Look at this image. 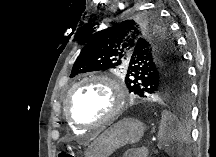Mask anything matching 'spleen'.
I'll list each match as a JSON object with an SVG mask.
<instances>
[{
  "label": "spleen",
  "instance_id": "1",
  "mask_svg": "<svg viewBox=\"0 0 216 157\" xmlns=\"http://www.w3.org/2000/svg\"><path fill=\"white\" fill-rule=\"evenodd\" d=\"M159 143L169 154L189 155L190 136L184 125L170 111L162 112L158 131Z\"/></svg>",
  "mask_w": 216,
  "mask_h": 157
}]
</instances>
